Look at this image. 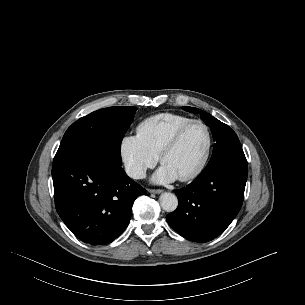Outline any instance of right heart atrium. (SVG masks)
Listing matches in <instances>:
<instances>
[{
  "mask_svg": "<svg viewBox=\"0 0 305 305\" xmlns=\"http://www.w3.org/2000/svg\"><path fill=\"white\" fill-rule=\"evenodd\" d=\"M120 155L127 173L135 179L144 177L158 160L138 135H127L122 139Z\"/></svg>",
  "mask_w": 305,
  "mask_h": 305,
  "instance_id": "right-heart-atrium-1",
  "label": "right heart atrium"
}]
</instances>
